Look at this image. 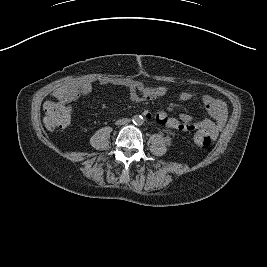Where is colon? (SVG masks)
Here are the masks:
<instances>
[{
	"mask_svg": "<svg viewBox=\"0 0 267 267\" xmlns=\"http://www.w3.org/2000/svg\"><path fill=\"white\" fill-rule=\"evenodd\" d=\"M43 122L49 130L63 129L69 126L70 115L58 102L48 101L43 105ZM213 139L210 134L199 131L192 136L194 145L201 149L208 148Z\"/></svg>",
	"mask_w": 267,
	"mask_h": 267,
	"instance_id": "5ec220e1",
	"label": "colon"
}]
</instances>
